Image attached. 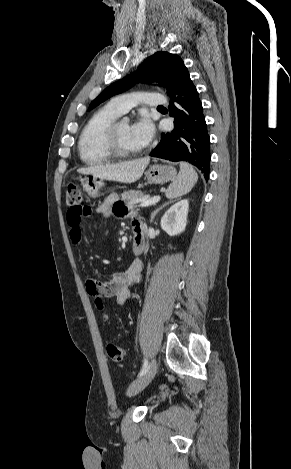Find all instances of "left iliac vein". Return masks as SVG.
<instances>
[{"label":"left iliac vein","instance_id":"left-iliac-vein-1","mask_svg":"<svg viewBox=\"0 0 291 469\" xmlns=\"http://www.w3.org/2000/svg\"><path fill=\"white\" fill-rule=\"evenodd\" d=\"M157 371V362L155 359H152L147 371L135 380L128 389L130 395H136L141 392L154 378Z\"/></svg>","mask_w":291,"mask_h":469}]
</instances>
